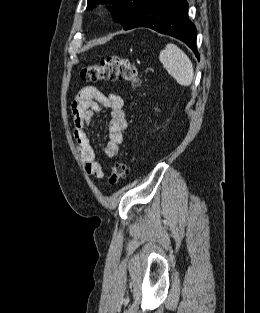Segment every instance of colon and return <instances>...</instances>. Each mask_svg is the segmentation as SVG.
Masks as SVG:
<instances>
[{"mask_svg": "<svg viewBox=\"0 0 260 313\" xmlns=\"http://www.w3.org/2000/svg\"><path fill=\"white\" fill-rule=\"evenodd\" d=\"M79 75L84 81H122L134 88H139L142 84L136 64L129 59L117 56L103 59L98 64L85 66ZM128 173L129 166L125 161L115 162L108 178V184L116 185L121 179L127 177Z\"/></svg>", "mask_w": 260, "mask_h": 313, "instance_id": "colon-1", "label": "colon"}]
</instances>
